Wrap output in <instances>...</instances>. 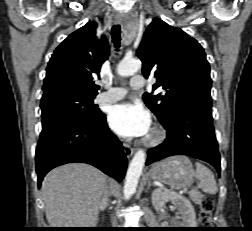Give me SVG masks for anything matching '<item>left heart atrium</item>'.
Returning a JSON list of instances; mask_svg holds the SVG:
<instances>
[{"label": "left heart atrium", "instance_id": "1", "mask_svg": "<svg viewBox=\"0 0 252 231\" xmlns=\"http://www.w3.org/2000/svg\"><path fill=\"white\" fill-rule=\"evenodd\" d=\"M112 130L121 137H142L151 129V118L147 110L136 103L115 105L108 116Z\"/></svg>", "mask_w": 252, "mask_h": 231}]
</instances>
